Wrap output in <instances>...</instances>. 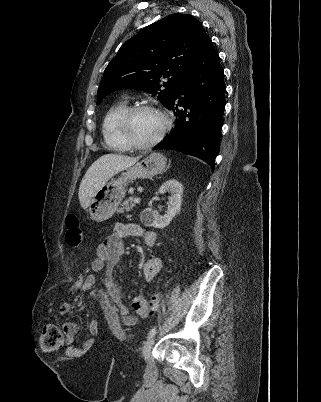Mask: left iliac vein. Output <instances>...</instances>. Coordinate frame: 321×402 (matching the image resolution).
<instances>
[{
	"label": "left iliac vein",
	"instance_id": "left-iliac-vein-1",
	"mask_svg": "<svg viewBox=\"0 0 321 402\" xmlns=\"http://www.w3.org/2000/svg\"><path fill=\"white\" fill-rule=\"evenodd\" d=\"M154 344V338H150L143 346L142 349V356L145 360H147L149 358L151 349L153 347Z\"/></svg>",
	"mask_w": 321,
	"mask_h": 402
}]
</instances>
